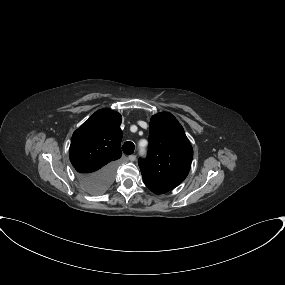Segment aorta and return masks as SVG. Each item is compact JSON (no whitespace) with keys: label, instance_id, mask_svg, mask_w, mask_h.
<instances>
[{"label":"aorta","instance_id":"aorta-1","mask_svg":"<svg viewBox=\"0 0 285 285\" xmlns=\"http://www.w3.org/2000/svg\"><path fill=\"white\" fill-rule=\"evenodd\" d=\"M139 152H140L141 155H143L145 153V149L143 147H140Z\"/></svg>","mask_w":285,"mask_h":285}]
</instances>
